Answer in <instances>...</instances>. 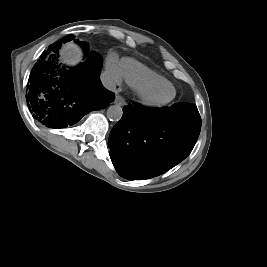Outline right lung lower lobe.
<instances>
[{
	"mask_svg": "<svg viewBox=\"0 0 267 267\" xmlns=\"http://www.w3.org/2000/svg\"><path fill=\"white\" fill-rule=\"evenodd\" d=\"M60 46L44 51L36 62L26 95L34 119L50 128L72 126L87 113L106 108L115 99L100 81L103 60L98 53L91 51L77 67L59 68L54 64V53H58Z\"/></svg>",
	"mask_w": 267,
	"mask_h": 267,
	"instance_id": "obj_1",
	"label": "right lung lower lobe"
}]
</instances>
